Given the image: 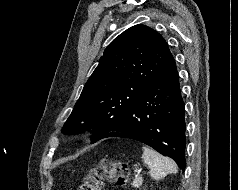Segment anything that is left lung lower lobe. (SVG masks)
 <instances>
[{"label":"left lung lower lobe","instance_id":"obj_1","mask_svg":"<svg viewBox=\"0 0 238 190\" xmlns=\"http://www.w3.org/2000/svg\"><path fill=\"white\" fill-rule=\"evenodd\" d=\"M185 105L173 59L153 79L113 129L101 137L119 136L140 141L186 166Z\"/></svg>","mask_w":238,"mask_h":190}]
</instances>
